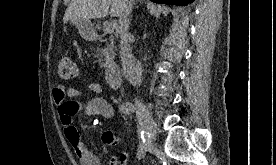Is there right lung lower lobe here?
<instances>
[{
    "label": "right lung lower lobe",
    "instance_id": "obj_1",
    "mask_svg": "<svg viewBox=\"0 0 276 165\" xmlns=\"http://www.w3.org/2000/svg\"><path fill=\"white\" fill-rule=\"evenodd\" d=\"M151 1L156 3L185 6L189 3H192L194 0H151Z\"/></svg>",
    "mask_w": 276,
    "mask_h": 165
}]
</instances>
